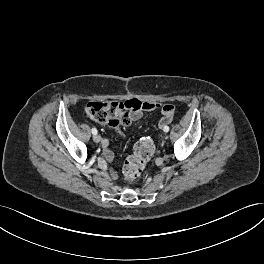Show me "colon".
<instances>
[{"instance_id": "1", "label": "colon", "mask_w": 264, "mask_h": 264, "mask_svg": "<svg viewBox=\"0 0 264 264\" xmlns=\"http://www.w3.org/2000/svg\"><path fill=\"white\" fill-rule=\"evenodd\" d=\"M87 115L94 121L106 123L112 127L128 125L131 121L126 106L121 102H90L86 106ZM168 122L161 119L159 126ZM154 152V144L149 137L141 138L134 146L133 154L127 158L123 166L126 181H133L140 176L146 163Z\"/></svg>"}]
</instances>
